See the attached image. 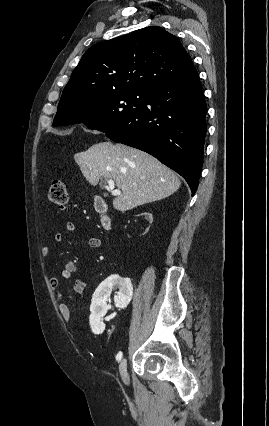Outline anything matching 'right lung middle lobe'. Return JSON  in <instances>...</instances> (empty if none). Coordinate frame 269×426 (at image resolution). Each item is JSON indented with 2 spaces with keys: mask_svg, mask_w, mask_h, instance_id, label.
Instances as JSON below:
<instances>
[{
  "mask_svg": "<svg viewBox=\"0 0 269 426\" xmlns=\"http://www.w3.org/2000/svg\"><path fill=\"white\" fill-rule=\"evenodd\" d=\"M147 93L118 92L90 98H61L53 126L83 122L90 129L107 132L138 113Z\"/></svg>",
  "mask_w": 269,
  "mask_h": 426,
  "instance_id": "dd1d6c3e",
  "label": "right lung middle lobe"
}]
</instances>
